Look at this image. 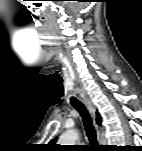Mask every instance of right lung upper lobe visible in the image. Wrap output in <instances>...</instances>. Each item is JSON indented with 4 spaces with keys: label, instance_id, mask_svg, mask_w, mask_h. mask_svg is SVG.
Wrapping results in <instances>:
<instances>
[{
    "label": "right lung upper lobe",
    "instance_id": "right-lung-upper-lobe-1",
    "mask_svg": "<svg viewBox=\"0 0 142 151\" xmlns=\"http://www.w3.org/2000/svg\"><path fill=\"white\" fill-rule=\"evenodd\" d=\"M96 115H97L96 116L97 123H98V125H100L101 124V122H100L101 121V117L98 114V112L96 113ZM56 140H57V138H55V139L50 141L49 145H50L51 148H55L56 147V144H55Z\"/></svg>",
    "mask_w": 142,
    "mask_h": 151
}]
</instances>
